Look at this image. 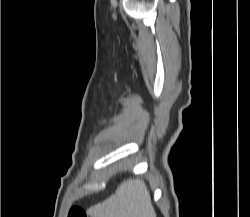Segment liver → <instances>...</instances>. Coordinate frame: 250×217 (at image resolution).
<instances>
[{"mask_svg":"<svg viewBox=\"0 0 250 217\" xmlns=\"http://www.w3.org/2000/svg\"><path fill=\"white\" fill-rule=\"evenodd\" d=\"M91 217H156L151 196L144 181L127 179L115 193L87 210Z\"/></svg>","mask_w":250,"mask_h":217,"instance_id":"6515ba94","label":"liver"}]
</instances>
